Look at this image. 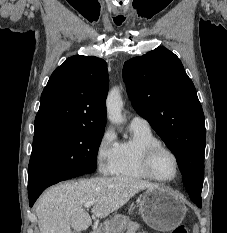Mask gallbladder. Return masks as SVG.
<instances>
[{
	"label": "gallbladder",
	"instance_id": "1",
	"mask_svg": "<svg viewBox=\"0 0 227 233\" xmlns=\"http://www.w3.org/2000/svg\"><path fill=\"white\" fill-rule=\"evenodd\" d=\"M73 233H81V232H78V231H74Z\"/></svg>",
	"mask_w": 227,
	"mask_h": 233
}]
</instances>
